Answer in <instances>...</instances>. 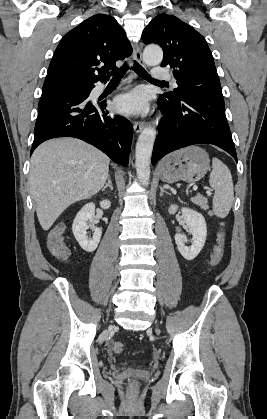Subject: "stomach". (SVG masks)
I'll return each instance as SVG.
<instances>
[{
    "instance_id": "obj_1",
    "label": "stomach",
    "mask_w": 267,
    "mask_h": 419,
    "mask_svg": "<svg viewBox=\"0 0 267 419\" xmlns=\"http://www.w3.org/2000/svg\"><path fill=\"white\" fill-rule=\"evenodd\" d=\"M210 167L208 153L199 146H189L168 155L160 164V178L167 183L196 182Z\"/></svg>"
}]
</instances>
